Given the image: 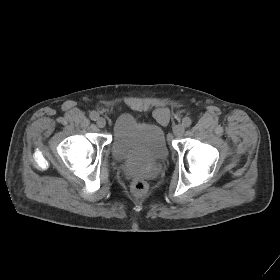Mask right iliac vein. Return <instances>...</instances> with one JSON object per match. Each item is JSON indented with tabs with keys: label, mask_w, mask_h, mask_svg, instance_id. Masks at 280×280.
<instances>
[{
	"label": "right iliac vein",
	"mask_w": 280,
	"mask_h": 280,
	"mask_svg": "<svg viewBox=\"0 0 280 280\" xmlns=\"http://www.w3.org/2000/svg\"><path fill=\"white\" fill-rule=\"evenodd\" d=\"M96 124L99 128H104L106 125V120L103 117H99Z\"/></svg>",
	"instance_id": "right-iliac-vein-1"
}]
</instances>
